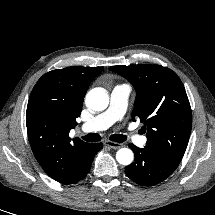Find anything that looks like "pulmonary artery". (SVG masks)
I'll return each instance as SVG.
<instances>
[{
	"mask_svg": "<svg viewBox=\"0 0 215 215\" xmlns=\"http://www.w3.org/2000/svg\"><path fill=\"white\" fill-rule=\"evenodd\" d=\"M130 91L131 89L128 85L123 84L115 86L110 95L108 109L94 117L92 120L84 123L81 126V130L83 132L102 131L120 120L126 112ZM130 138L138 145H144L147 141L145 136L133 135Z\"/></svg>",
	"mask_w": 215,
	"mask_h": 215,
	"instance_id": "1",
	"label": "pulmonary artery"
}]
</instances>
